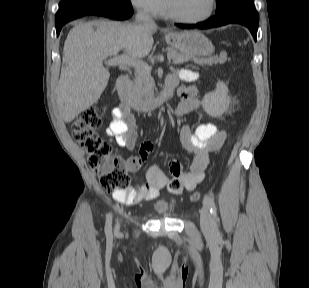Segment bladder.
I'll return each mask as SVG.
<instances>
[{"label": "bladder", "instance_id": "31cf9c89", "mask_svg": "<svg viewBox=\"0 0 309 288\" xmlns=\"http://www.w3.org/2000/svg\"><path fill=\"white\" fill-rule=\"evenodd\" d=\"M151 209L157 217H170L173 212V205L166 198L158 196L153 199Z\"/></svg>", "mask_w": 309, "mask_h": 288}]
</instances>
